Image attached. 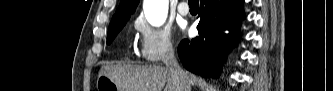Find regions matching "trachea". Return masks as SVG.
Wrapping results in <instances>:
<instances>
[{"mask_svg": "<svg viewBox=\"0 0 333 91\" xmlns=\"http://www.w3.org/2000/svg\"><path fill=\"white\" fill-rule=\"evenodd\" d=\"M190 3H198V0H189V4Z\"/></svg>", "mask_w": 333, "mask_h": 91, "instance_id": "3493384b", "label": "trachea"}]
</instances>
